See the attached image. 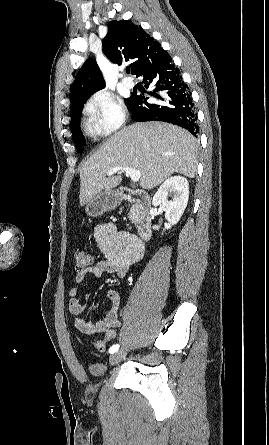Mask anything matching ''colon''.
Segmentation results:
<instances>
[{
	"label": "colon",
	"instance_id": "colon-1",
	"mask_svg": "<svg viewBox=\"0 0 269 445\" xmlns=\"http://www.w3.org/2000/svg\"><path fill=\"white\" fill-rule=\"evenodd\" d=\"M75 270L77 273L85 271L93 263V258L84 250H76L74 253ZM96 347L99 351L105 349V341L98 340L96 342Z\"/></svg>",
	"mask_w": 269,
	"mask_h": 445
}]
</instances>
